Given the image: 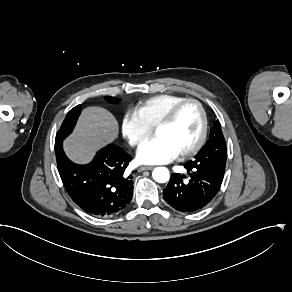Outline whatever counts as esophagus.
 <instances>
[{"instance_id":"34e87169","label":"esophagus","mask_w":292,"mask_h":292,"mask_svg":"<svg viewBox=\"0 0 292 292\" xmlns=\"http://www.w3.org/2000/svg\"><path fill=\"white\" fill-rule=\"evenodd\" d=\"M154 168V166H141L139 167L138 171H144V170H152Z\"/></svg>"}]
</instances>
